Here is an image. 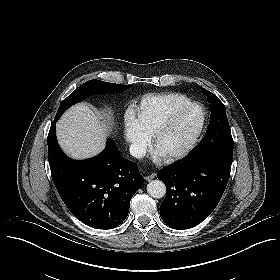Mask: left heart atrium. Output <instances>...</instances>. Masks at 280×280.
I'll list each match as a JSON object with an SVG mask.
<instances>
[{
	"instance_id": "39dd6f15",
	"label": "left heart atrium",
	"mask_w": 280,
	"mask_h": 280,
	"mask_svg": "<svg viewBox=\"0 0 280 280\" xmlns=\"http://www.w3.org/2000/svg\"><path fill=\"white\" fill-rule=\"evenodd\" d=\"M154 162L158 163L159 162V159L157 157H155L154 159Z\"/></svg>"
}]
</instances>
